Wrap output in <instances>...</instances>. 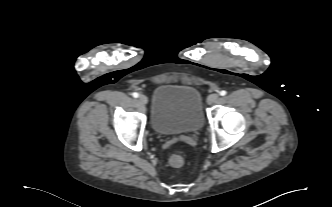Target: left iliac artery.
I'll return each mask as SVG.
<instances>
[{
    "label": "left iliac artery",
    "mask_w": 332,
    "mask_h": 207,
    "mask_svg": "<svg viewBox=\"0 0 332 207\" xmlns=\"http://www.w3.org/2000/svg\"><path fill=\"white\" fill-rule=\"evenodd\" d=\"M226 94H227V92L225 90L220 91L221 96H225Z\"/></svg>",
    "instance_id": "obj_1"
}]
</instances>
